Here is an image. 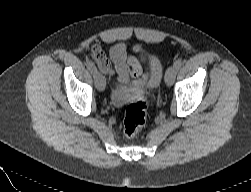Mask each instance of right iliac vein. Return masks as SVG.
<instances>
[{"mask_svg":"<svg viewBox=\"0 0 251 192\" xmlns=\"http://www.w3.org/2000/svg\"><path fill=\"white\" fill-rule=\"evenodd\" d=\"M94 80H95V85L96 88L99 91H104L105 86H106V80L105 77L97 71V73L94 75Z\"/></svg>","mask_w":251,"mask_h":192,"instance_id":"1","label":"right iliac vein"}]
</instances>
